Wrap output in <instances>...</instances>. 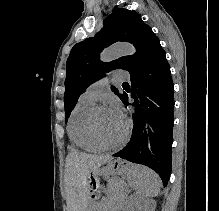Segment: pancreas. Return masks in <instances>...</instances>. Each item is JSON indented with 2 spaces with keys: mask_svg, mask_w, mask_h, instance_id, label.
<instances>
[{
  "mask_svg": "<svg viewBox=\"0 0 219 211\" xmlns=\"http://www.w3.org/2000/svg\"><path fill=\"white\" fill-rule=\"evenodd\" d=\"M125 187L127 186L107 187L109 195L104 198V201L94 204V211H120V203L126 199Z\"/></svg>",
  "mask_w": 219,
  "mask_h": 211,
  "instance_id": "cf45deb5",
  "label": "pancreas"
}]
</instances>
